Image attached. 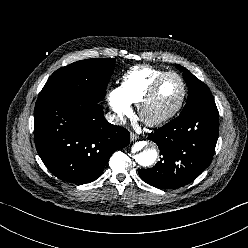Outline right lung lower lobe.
Wrapping results in <instances>:
<instances>
[{
    "mask_svg": "<svg viewBox=\"0 0 248 248\" xmlns=\"http://www.w3.org/2000/svg\"><path fill=\"white\" fill-rule=\"evenodd\" d=\"M34 140L54 176L84 184L100 177L110 156L129 144L130 134L110 124L99 103L53 97L36 102Z\"/></svg>",
    "mask_w": 248,
    "mask_h": 248,
    "instance_id": "98d812e1",
    "label": "right lung lower lobe"
}]
</instances>
